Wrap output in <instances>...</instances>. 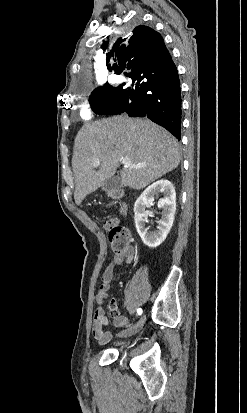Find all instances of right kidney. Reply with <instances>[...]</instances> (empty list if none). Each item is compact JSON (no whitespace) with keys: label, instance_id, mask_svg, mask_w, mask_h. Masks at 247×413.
Masks as SVG:
<instances>
[{"label":"right kidney","instance_id":"1","mask_svg":"<svg viewBox=\"0 0 247 413\" xmlns=\"http://www.w3.org/2000/svg\"><path fill=\"white\" fill-rule=\"evenodd\" d=\"M157 192H163V198L158 200V207L159 209H163V211L161 213V219L157 221V231H152L151 233L145 225L147 215H149L145 209L146 207H151ZM175 211L176 192L175 186H173L170 180L161 178V180H156V182H153V184H150V186H147V188L143 190L134 204V219L137 233H139L144 245H147L150 249H156V247H159V245L165 241L173 225Z\"/></svg>","mask_w":247,"mask_h":413}]
</instances>
